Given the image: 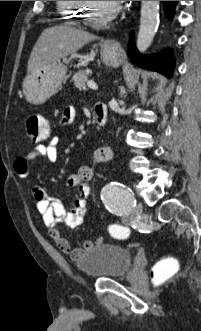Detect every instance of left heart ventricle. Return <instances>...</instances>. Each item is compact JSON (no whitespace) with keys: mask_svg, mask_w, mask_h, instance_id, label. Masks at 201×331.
I'll list each match as a JSON object with an SVG mask.
<instances>
[{"mask_svg":"<svg viewBox=\"0 0 201 331\" xmlns=\"http://www.w3.org/2000/svg\"><path fill=\"white\" fill-rule=\"evenodd\" d=\"M114 9L115 6L110 1H91L88 13L92 19L98 20Z\"/></svg>","mask_w":201,"mask_h":331,"instance_id":"1","label":"left heart ventricle"}]
</instances>
